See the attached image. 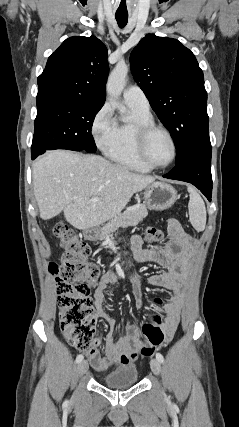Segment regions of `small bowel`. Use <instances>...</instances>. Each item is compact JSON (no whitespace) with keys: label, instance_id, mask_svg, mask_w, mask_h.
<instances>
[{"label":"small bowel","instance_id":"c3829d8e","mask_svg":"<svg viewBox=\"0 0 239 427\" xmlns=\"http://www.w3.org/2000/svg\"><path fill=\"white\" fill-rule=\"evenodd\" d=\"M168 234L170 240L163 247L154 249H144L140 236L135 235L132 238L134 257L138 262H152L164 268L162 272L151 275L147 279V284L165 288L172 294L160 305H156L163 306L164 309L163 330L166 341L171 340L179 323L184 301V279L194 249L191 237L178 221L168 220ZM116 278L113 271L105 273L94 292L95 315L97 318L105 320L109 326V332L105 339L104 355H101L98 350L101 343L99 338L94 339L93 348L86 352L92 367L97 371H105L114 363H118L121 367H128L137 359L138 350L141 346L139 329L132 322L126 323L123 336L117 340L113 337L115 318L104 310L103 304L105 291L109 284L116 281ZM135 294L138 305L141 306L138 283L135 286Z\"/></svg>","mask_w":239,"mask_h":427}]
</instances>
